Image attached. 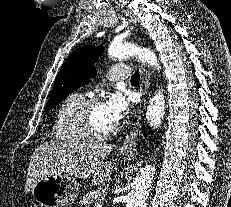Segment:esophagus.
I'll return each instance as SVG.
<instances>
[{
    "label": "esophagus",
    "instance_id": "obj_1",
    "mask_svg": "<svg viewBox=\"0 0 231 207\" xmlns=\"http://www.w3.org/2000/svg\"><path fill=\"white\" fill-rule=\"evenodd\" d=\"M149 80H150V77L147 76L145 69H143V71H142V83L144 84V88L142 90L143 95L146 94V89L148 88V86L150 84ZM142 112H143V109H142V106H140L137 109V112L135 113L134 122H133L130 130L126 134V136L123 140V143L120 147V151L122 153L134 154L136 152V145H137L138 133H139L138 123H139V120L141 118Z\"/></svg>",
    "mask_w": 231,
    "mask_h": 207
}]
</instances>
